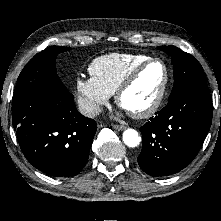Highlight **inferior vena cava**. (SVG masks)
Instances as JSON below:
<instances>
[{"label":"inferior vena cava","instance_id":"1","mask_svg":"<svg viewBox=\"0 0 221 221\" xmlns=\"http://www.w3.org/2000/svg\"><path fill=\"white\" fill-rule=\"evenodd\" d=\"M78 103L80 113L89 118H93L103 111L100 104L88 98H80Z\"/></svg>","mask_w":221,"mask_h":221}]
</instances>
